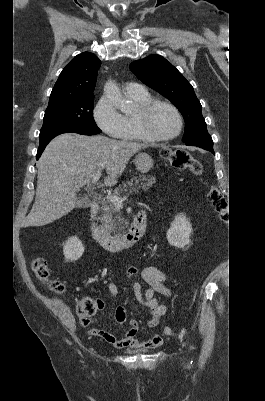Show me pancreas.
Segmentation results:
<instances>
[{"label":"pancreas","instance_id":"obj_1","mask_svg":"<svg viewBox=\"0 0 265 401\" xmlns=\"http://www.w3.org/2000/svg\"><path fill=\"white\" fill-rule=\"evenodd\" d=\"M140 180H146V182H140ZM154 182L155 176L139 174V176H134L131 180H127V182H122V184L116 186L113 190V196H121L122 192H127V190H134V192H137L138 188H141V186L143 190H148ZM101 205V223L104 225V229H107L109 233H118V231L124 233L126 225H123V223H125V221L121 217V211L113 205L111 198H105V201H102ZM116 237H118V235H116Z\"/></svg>","mask_w":265,"mask_h":401}]
</instances>
